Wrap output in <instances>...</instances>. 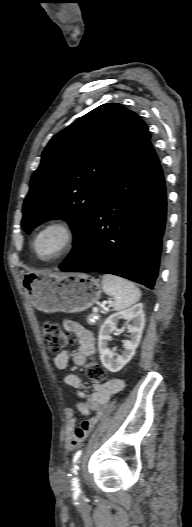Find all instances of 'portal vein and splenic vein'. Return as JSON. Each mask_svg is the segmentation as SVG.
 Returning <instances> with one entry per match:
<instances>
[{"instance_id": "1", "label": "portal vein and splenic vein", "mask_w": 192, "mask_h": 527, "mask_svg": "<svg viewBox=\"0 0 192 527\" xmlns=\"http://www.w3.org/2000/svg\"><path fill=\"white\" fill-rule=\"evenodd\" d=\"M93 312L97 313L98 312V308H93Z\"/></svg>"}]
</instances>
